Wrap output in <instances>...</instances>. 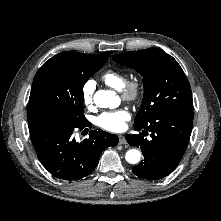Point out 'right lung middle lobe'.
<instances>
[{"label": "right lung middle lobe", "instance_id": "1", "mask_svg": "<svg viewBox=\"0 0 221 221\" xmlns=\"http://www.w3.org/2000/svg\"><path fill=\"white\" fill-rule=\"evenodd\" d=\"M106 60L95 55L65 51L46 61L37 71L30 93L28 122L41 117L66 123L86 122L83 86Z\"/></svg>", "mask_w": 221, "mask_h": 221}]
</instances>
